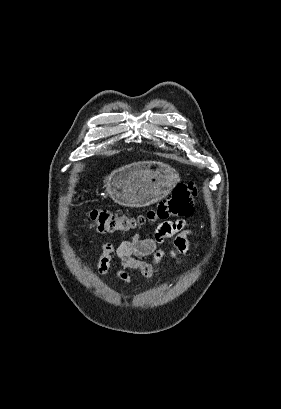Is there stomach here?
<instances>
[{
    "mask_svg": "<svg viewBox=\"0 0 281 409\" xmlns=\"http://www.w3.org/2000/svg\"><path fill=\"white\" fill-rule=\"evenodd\" d=\"M179 180V172L166 162L140 160L113 170L106 176L104 186L117 205L149 207L165 198Z\"/></svg>",
    "mask_w": 281,
    "mask_h": 409,
    "instance_id": "0dacf381",
    "label": "stomach"
}]
</instances>
